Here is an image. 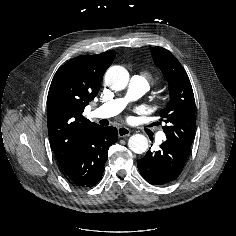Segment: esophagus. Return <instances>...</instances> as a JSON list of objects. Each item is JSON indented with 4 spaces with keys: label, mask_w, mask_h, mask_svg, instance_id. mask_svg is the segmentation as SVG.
<instances>
[{
    "label": "esophagus",
    "mask_w": 236,
    "mask_h": 236,
    "mask_svg": "<svg viewBox=\"0 0 236 236\" xmlns=\"http://www.w3.org/2000/svg\"><path fill=\"white\" fill-rule=\"evenodd\" d=\"M130 133H131V131L127 127L122 126V127L118 128V136L119 137H127L130 135Z\"/></svg>",
    "instance_id": "obj_1"
}]
</instances>
